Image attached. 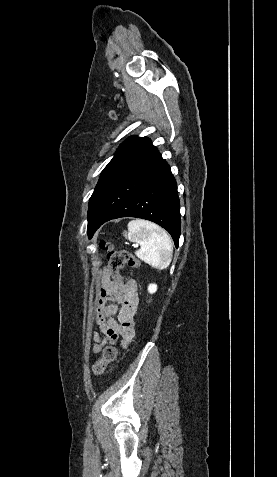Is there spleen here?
Here are the masks:
<instances>
[{"label":"spleen","mask_w":277,"mask_h":477,"mask_svg":"<svg viewBox=\"0 0 277 477\" xmlns=\"http://www.w3.org/2000/svg\"><path fill=\"white\" fill-rule=\"evenodd\" d=\"M124 236L140 245L136 256L153 268L162 270L169 266L173 256L172 240L158 225L136 219L128 223V232Z\"/></svg>","instance_id":"spleen-1"}]
</instances>
